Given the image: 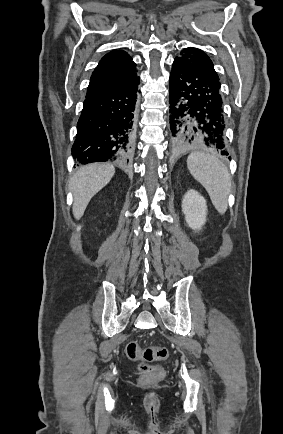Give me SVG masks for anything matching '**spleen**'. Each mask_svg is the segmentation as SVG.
<instances>
[{"instance_id": "3e777b00", "label": "spleen", "mask_w": 283, "mask_h": 434, "mask_svg": "<svg viewBox=\"0 0 283 434\" xmlns=\"http://www.w3.org/2000/svg\"><path fill=\"white\" fill-rule=\"evenodd\" d=\"M187 167L192 176L205 187L216 210L225 213L231 186L226 166L212 155L194 152L187 158Z\"/></svg>"}]
</instances>
